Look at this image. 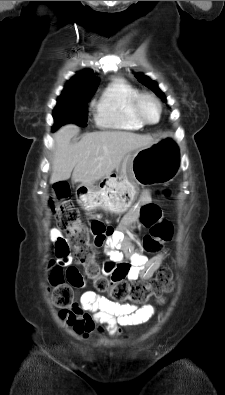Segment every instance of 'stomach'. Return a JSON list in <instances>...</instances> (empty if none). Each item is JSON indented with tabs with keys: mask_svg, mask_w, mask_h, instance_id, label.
Instances as JSON below:
<instances>
[{
	"mask_svg": "<svg viewBox=\"0 0 225 395\" xmlns=\"http://www.w3.org/2000/svg\"><path fill=\"white\" fill-rule=\"evenodd\" d=\"M178 173L176 157L161 143H154L128 153L116 174L105 176L95 187L77 190L79 204L120 214L135 200L138 186H151L172 181Z\"/></svg>",
	"mask_w": 225,
	"mask_h": 395,
	"instance_id": "0dacf381",
	"label": "stomach"
}]
</instances>
